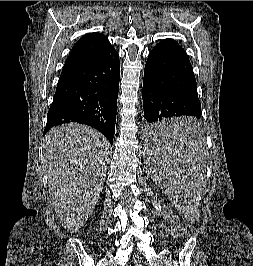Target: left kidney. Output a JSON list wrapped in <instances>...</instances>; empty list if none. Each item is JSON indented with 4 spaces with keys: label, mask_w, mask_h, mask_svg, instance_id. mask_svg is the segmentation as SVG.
<instances>
[{
    "label": "left kidney",
    "mask_w": 253,
    "mask_h": 266,
    "mask_svg": "<svg viewBox=\"0 0 253 266\" xmlns=\"http://www.w3.org/2000/svg\"><path fill=\"white\" fill-rule=\"evenodd\" d=\"M183 205H186V201H184V202H180V204H178V207H179L180 209H183V208H184Z\"/></svg>",
    "instance_id": "1"
}]
</instances>
